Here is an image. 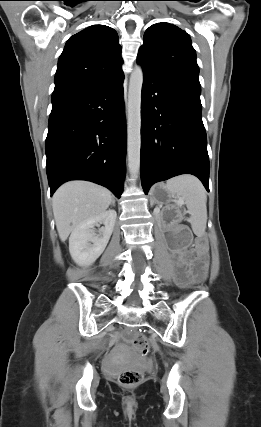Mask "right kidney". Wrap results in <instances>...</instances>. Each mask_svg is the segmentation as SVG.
I'll list each match as a JSON object with an SVG mask.
<instances>
[{
	"label": "right kidney",
	"mask_w": 261,
	"mask_h": 427,
	"mask_svg": "<svg viewBox=\"0 0 261 427\" xmlns=\"http://www.w3.org/2000/svg\"><path fill=\"white\" fill-rule=\"evenodd\" d=\"M116 217L115 210H108L74 228L69 238V251L78 265H91L103 253L113 232ZM98 223L104 224L99 235L95 233L94 228Z\"/></svg>",
	"instance_id": "ca27d5eb"
}]
</instances>
